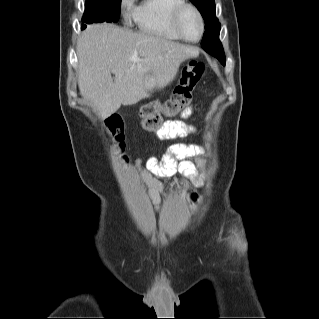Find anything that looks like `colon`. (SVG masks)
<instances>
[{
  "label": "colon",
  "mask_w": 319,
  "mask_h": 319,
  "mask_svg": "<svg viewBox=\"0 0 319 319\" xmlns=\"http://www.w3.org/2000/svg\"><path fill=\"white\" fill-rule=\"evenodd\" d=\"M206 71L201 61H191L183 68L180 81L174 89L173 95L166 103H153L141 109V126L145 131L155 132L161 129L165 117L177 116L189 104L192 93ZM108 131L114 138V146L118 151L124 148L122 122L114 117L108 124ZM124 157V156H123Z\"/></svg>",
  "instance_id": "5ec220e1"
}]
</instances>
